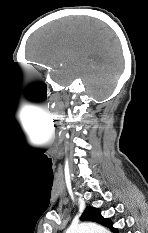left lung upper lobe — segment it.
I'll return each instance as SVG.
<instances>
[{
    "label": "left lung upper lobe",
    "instance_id": "obj_1",
    "mask_svg": "<svg viewBox=\"0 0 148 233\" xmlns=\"http://www.w3.org/2000/svg\"><path fill=\"white\" fill-rule=\"evenodd\" d=\"M81 220L99 223L101 225H104V226L110 228L111 230L114 231V233H118V230L116 228H113L112 222L110 221V219L103 218L101 216V212L98 208L88 206L85 209L84 213L82 214Z\"/></svg>",
    "mask_w": 148,
    "mask_h": 233
}]
</instances>
